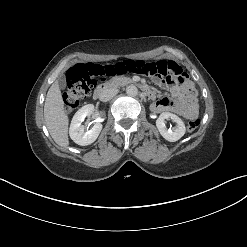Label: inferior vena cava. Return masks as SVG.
Returning <instances> with one entry per match:
<instances>
[{"mask_svg":"<svg viewBox=\"0 0 247 247\" xmlns=\"http://www.w3.org/2000/svg\"><path fill=\"white\" fill-rule=\"evenodd\" d=\"M119 92L118 89L116 88H107L105 90H103L100 94V100L101 101H109L110 99H112L117 93Z\"/></svg>","mask_w":247,"mask_h":247,"instance_id":"inferior-vena-cava-1","label":"inferior vena cava"}]
</instances>
